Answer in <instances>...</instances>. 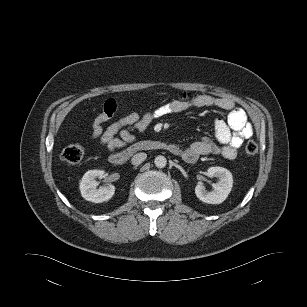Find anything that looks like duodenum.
<instances>
[{"instance_id": "duodenum-1", "label": "duodenum", "mask_w": 307, "mask_h": 307, "mask_svg": "<svg viewBox=\"0 0 307 307\" xmlns=\"http://www.w3.org/2000/svg\"><path fill=\"white\" fill-rule=\"evenodd\" d=\"M167 145L157 140H145L130 145L127 149L111 154L109 157L110 163L115 167L123 166L127 163L129 158L139 152L155 151L166 149Z\"/></svg>"}]
</instances>
